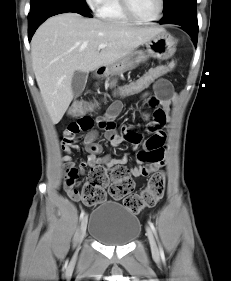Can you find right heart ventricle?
Here are the masks:
<instances>
[{"label": "right heart ventricle", "instance_id": "1", "mask_svg": "<svg viewBox=\"0 0 231 281\" xmlns=\"http://www.w3.org/2000/svg\"><path fill=\"white\" fill-rule=\"evenodd\" d=\"M98 14L103 20L109 22L128 23L131 21L123 12L119 0H105Z\"/></svg>", "mask_w": 231, "mask_h": 281}]
</instances>
